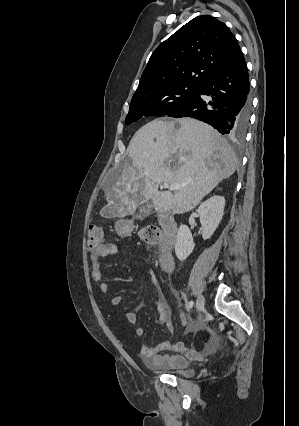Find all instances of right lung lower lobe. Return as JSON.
Wrapping results in <instances>:
<instances>
[{
	"mask_svg": "<svg viewBox=\"0 0 299 426\" xmlns=\"http://www.w3.org/2000/svg\"><path fill=\"white\" fill-rule=\"evenodd\" d=\"M249 89L248 71L240 53L228 66L204 80L196 94L168 116L196 118L222 134L241 138L251 112Z\"/></svg>",
	"mask_w": 299,
	"mask_h": 426,
	"instance_id": "right-lung-lower-lobe-1",
	"label": "right lung lower lobe"
}]
</instances>
